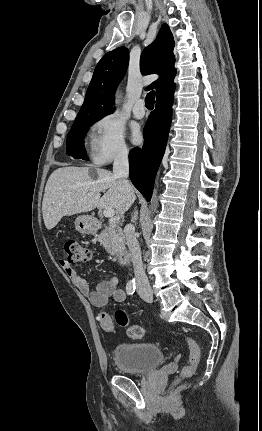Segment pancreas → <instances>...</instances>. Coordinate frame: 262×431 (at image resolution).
<instances>
[{
	"label": "pancreas",
	"instance_id": "obj_1",
	"mask_svg": "<svg viewBox=\"0 0 262 431\" xmlns=\"http://www.w3.org/2000/svg\"><path fill=\"white\" fill-rule=\"evenodd\" d=\"M98 238L103 241L105 250L111 255H117L125 249V237L117 220L109 222Z\"/></svg>",
	"mask_w": 262,
	"mask_h": 431
}]
</instances>
